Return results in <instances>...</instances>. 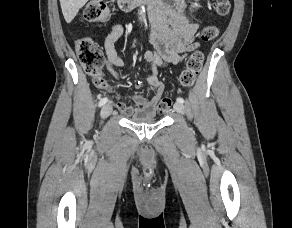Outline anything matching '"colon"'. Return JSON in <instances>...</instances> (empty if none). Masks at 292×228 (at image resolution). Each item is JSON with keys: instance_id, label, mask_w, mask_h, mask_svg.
Here are the masks:
<instances>
[{"instance_id": "colon-1", "label": "colon", "mask_w": 292, "mask_h": 228, "mask_svg": "<svg viewBox=\"0 0 292 228\" xmlns=\"http://www.w3.org/2000/svg\"><path fill=\"white\" fill-rule=\"evenodd\" d=\"M231 9L230 0H216L215 10L219 16H227ZM84 18L89 22H95L102 18L108 19L106 5L103 0H91L84 9ZM219 34L216 26H207L202 29L200 38L203 41L215 39ZM76 54L87 74L93 77L94 84L101 87L105 80L102 68L105 63V56L98 44L89 37L77 40L75 44ZM204 63V55L200 50H195L188 58L186 68L181 74L180 82L185 87H191L200 73ZM171 107L170 98H162L158 105V111L164 113Z\"/></svg>"}]
</instances>
